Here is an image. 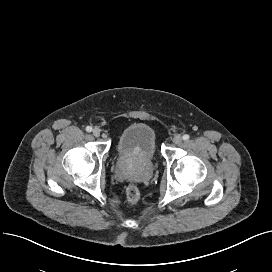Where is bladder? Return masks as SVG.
<instances>
[{
	"mask_svg": "<svg viewBox=\"0 0 272 272\" xmlns=\"http://www.w3.org/2000/svg\"><path fill=\"white\" fill-rule=\"evenodd\" d=\"M157 150V133L150 125L138 122L125 128L118 137L120 157L151 161Z\"/></svg>",
	"mask_w": 272,
	"mask_h": 272,
	"instance_id": "obj_1",
	"label": "bladder"
}]
</instances>
